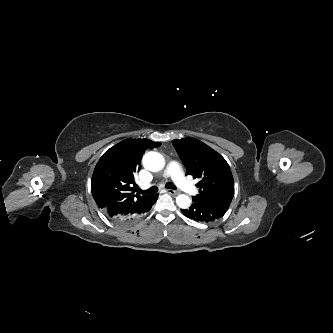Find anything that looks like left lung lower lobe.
I'll return each mask as SVG.
<instances>
[{
    "label": "left lung lower lobe",
    "instance_id": "obj_1",
    "mask_svg": "<svg viewBox=\"0 0 333 333\" xmlns=\"http://www.w3.org/2000/svg\"><path fill=\"white\" fill-rule=\"evenodd\" d=\"M228 206L193 198L192 205L187 209H181L182 213L193 220L210 222L222 217L228 210Z\"/></svg>",
    "mask_w": 333,
    "mask_h": 333
}]
</instances>
